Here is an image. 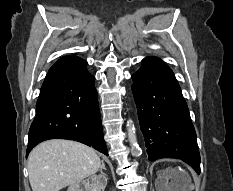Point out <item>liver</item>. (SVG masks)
Listing matches in <instances>:
<instances>
[{
  "label": "liver",
  "mask_w": 233,
  "mask_h": 191,
  "mask_svg": "<svg viewBox=\"0 0 233 191\" xmlns=\"http://www.w3.org/2000/svg\"><path fill=\"white\" fill-rule=\"evenodd\" d=\"M95 150L79 142L52 139L29 154L28 172L32 191H59L95 174L100 168Z\"/></svg>",
  "instance_id": "obj_1"
}]
</instances>
